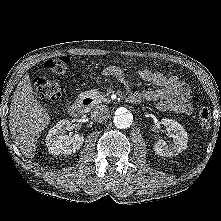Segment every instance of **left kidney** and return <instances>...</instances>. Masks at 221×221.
I'll list each match as a JSON object with an SVG mask.
<instances>
[{"label":"left kidney","mask_w":221,"mask_h":221,"mask_svg":"<svg viewBox=\"0 0 221 221\" xmlns=\"http://www.w3.org/2000/svg\"><path fill=\"white\" fill-rule=\"evenodd\" d=\"M161 123L168 127L172 134V142L166 143L163 139H158L154 145L157 155L170 157L181 153L187 148L188 136L183 126L173 119H162Z\"/></svg>","instance_id":"obj_1"}]
</instances>
